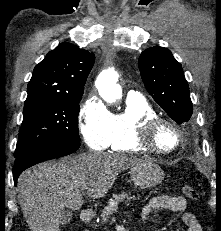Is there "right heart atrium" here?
<instances>
[{"instance_id": "obj_1", "label": "right heart atrium", "mask_w": 221, "mask_h": 231, "mask_svg": "<svg viewBox=\"0 0 221 231\" xmlns=\"http://www.w3.org/2000/svg\"><path fill=\"white\" fill-rule=\"evenodd\" d=\"M113 114L96 96L88 97L82 104L78 116L79 129L86 145L93 150L106 148Z\"/></svg>"}]
</instances>
